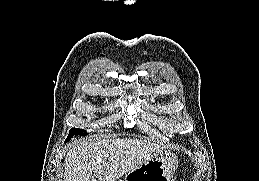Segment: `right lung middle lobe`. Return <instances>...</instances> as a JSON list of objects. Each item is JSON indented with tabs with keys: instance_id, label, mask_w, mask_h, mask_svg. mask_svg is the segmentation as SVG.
<instances>
[{
	"instance_id": "dd1d6c3e",
	"label": "right lung middle lobe",
	"mask_w": 259,
	"mask_h": 181,
	"mask_svg": "<svg viewBox=\"0 0 259 181\" xmlns=\"http://www.w3.org/2000/svg\"><path fill=\"white\" fill-rule=\"evenodd\" d=\"M86 134H87V132L84 129L71 128L70 131H69V135L66 138L65 142H68L75 135H86Z\"/></svg>"
}]
</instances>
